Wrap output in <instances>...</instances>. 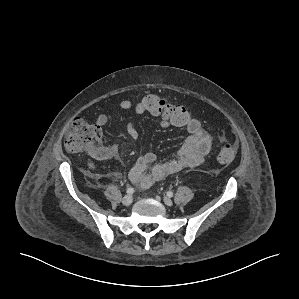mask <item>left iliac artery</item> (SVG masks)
<instances>
[{"label": "left iliac artery", "instance_id": "obj_1", "mask_svg": "<svg viewBox=\"0 0 299 299\" xmlns=\"http://www.w3.org/2000/svg\"><path fill=\"white\" fill-rule=\"evenodd\" d=\"M167 196L172 197L173 196V192L172 191H168L167 192Z\"/></svg>", "mask_w": 299, "mask_h": 299}]
</instances>
